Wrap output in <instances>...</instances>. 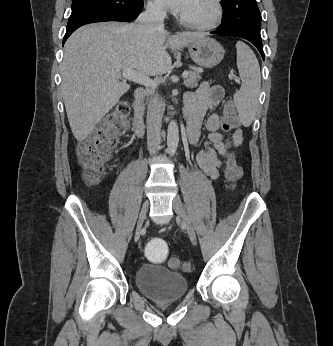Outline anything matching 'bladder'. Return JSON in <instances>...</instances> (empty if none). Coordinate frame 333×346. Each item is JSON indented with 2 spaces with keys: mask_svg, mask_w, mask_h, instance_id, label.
<instances>
[{
  "mask_svg": "<svg viewBox=\"0 0 333 346\" xmlns=\"http://www.w3.org/2000/svg\"><path fill=\"white\" fill-rule=\"evenodd\" d=\"M135 284L142 294L160 303L176 301L188 289V282L181 273L150 263L139 267Z\"/></svg>",
  "mask_w": 333,
  "mask_h": 346,
  "instance_id": "1",
  "label": "bladder"
}]
</instances>
